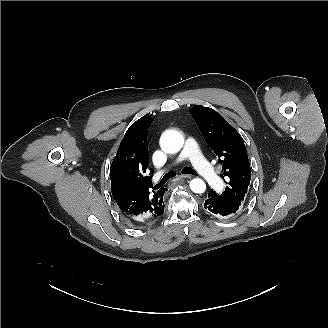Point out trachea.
I'll use <instances>...</instances> for the list:
<instances>
[{
    "instance_id": "3493384b",
    "label": "trachea",
    "mask_w": 328,
    "mask_h": 328,
    "mask_svg": "<svg viewBox=\"0 0 328 328\" xmlns=\"http://www.w3.org/2000/svg\"><path fill=\"white\" fill-rule=\"evenodd\" d=\"M183 174H192V175H198V173L193 170L192 168H185L182 170ZM176 174L173 171L168 172L164 175L162 180L155 186L156 188H160L163 186L169 179L173 178Z\"/></svg>"
}]
</instances>
